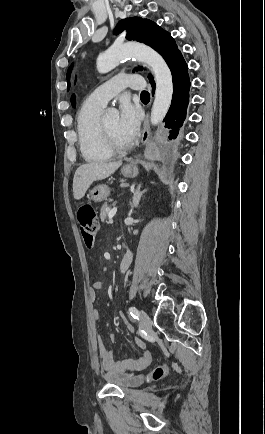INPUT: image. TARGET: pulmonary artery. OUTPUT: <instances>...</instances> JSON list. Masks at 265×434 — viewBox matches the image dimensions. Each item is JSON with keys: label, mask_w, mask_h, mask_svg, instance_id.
<instances>
[{"label": "pulmonary artery", "mask_w": 265, "mask_h": 434, "mask_svg": "<svg viewBox=\"0 0 265 434\" xmlns=\"http://www.w3.org/2000/svg\"><path fill=\"white\" fill-rule=\"evenodd\" d=\"M147 78L145 75H128L125 73L117 74L108 81H103L100 87H95L93 91H89L87 100L89 103H98L103 106L107 103L111 96H116L120 90H124L126 84H145Z\"/></svg>", "instance_id": "pulmonary-artery-1"}]
</instances>
